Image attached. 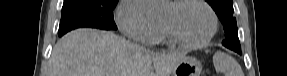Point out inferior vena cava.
<instances>
[{
    "mask_svg": "<svg viewBox=\"0 0 287 76\" xmlns=\"http://www.w3.org/2000/svg\"><path fill=\"white\" fill-rule=\"evenodd\" d=\"M138 49H140V50H146L145 47L139 46V45H138Z\"/></svg>",
    "mask_w": 287,
    "mask_h": 76,
    "instance_id": "602c4592",
    "label": "inferior vena cava"
}]
</instances>
